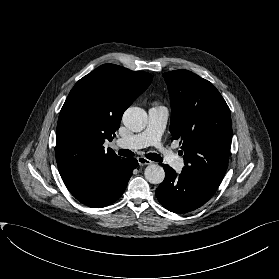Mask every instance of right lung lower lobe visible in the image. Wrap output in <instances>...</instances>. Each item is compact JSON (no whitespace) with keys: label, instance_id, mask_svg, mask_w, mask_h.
<instances>
[{"label":"right lung lower lobe","instance_id":"1","mask_svg":"<svg viewBox=\"0 0 279 279\" xmlns=\"http://www.w3.org/2000/svg\"><path fill=\"white\" fill-rule=\"evenodd\" d=\"M138 166L135 158H123L114 169L87 183L71 194L82 204L102 208L114 203L123 194L132 171Z\"/></svg>","mask_w":279,"mask_h":279}]
</instances>
